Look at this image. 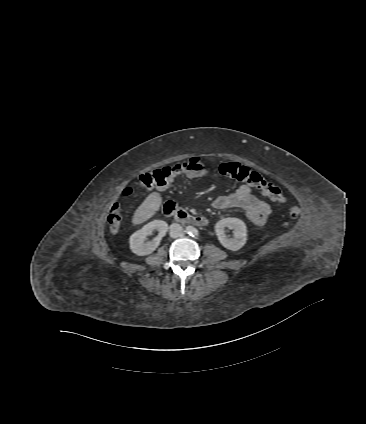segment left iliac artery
Returning <instances> with one entry per match:
<instances>
[{"label": "left iliac artery", "mask_w": 366, "mask_h": 424, "mask_svg": "<svg viewBox=\"0 0 366 424\" xmlns=\"http://www.w3.org/2000/svg\"><path fill=\"white\" fill-rule=\"evenodd\" d=\"M198 234H199L198 231L196 229H194L193 232H192V236L197 237Z\"/></svg>", "instance_id": "left-iliac-artery-1"}]
</instances>
